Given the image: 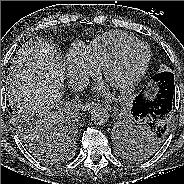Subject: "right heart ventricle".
<instances>
[{
	"mask_svg": "<svg viewBox=\"0 0 184 184\" xmlns=\"http://www.w3.org/2000/svg\"><path fill=\"white\" fill-rule=\"evenodd\" d=\"M136 41V38L124 32L113 31L98 36L86 49L90 58L97 65H102L122 46Z\"/></svg>",
	"mask_w": 184,
	"mask_h": 184,
	"instance_id": "e07e8e85",
	"label": "right heart ventricle"
}]
</instances>
